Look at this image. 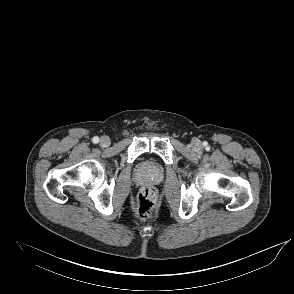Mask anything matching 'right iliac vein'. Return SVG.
<instances>
[{
  "mask_svg": "<svg viewBox=\"0 0 294 294\" xmlns=\"http://www.w3.org/2000/svg\"><path fill=\"white\" fill-rule=\"evenodd\" d=\"M99 142H100L101 146L108 147L110 145V143H111V140H110V138L108 136H102L100 138Z\"/></svg>",
  "mask_w": 294,
  "mask_h": 294,
  "instance_id": "1",
  "label": "right iliac vein"
}]
</instances>
